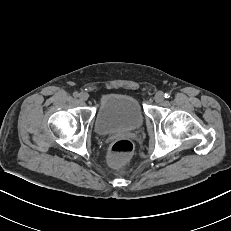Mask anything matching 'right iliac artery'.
I'll use <instances>...</instances> for the list:
<instances>
[{
    "mask_svg": "<svg viewBox=\"0 0 231 231\" xmlns=\"http://www.w3.org/2000/svg\"><path fill=\"white\" fill-rule=\"evenodd\" d=\"M73 96H74V97H78V96H79V93H78V92H74V93H73Z\"/></svg>",
    "mask_w": 231,
    "mask_h": 231,
    "instance_id": "1",
    "label": "right iliac artery"
}]
</instances>
